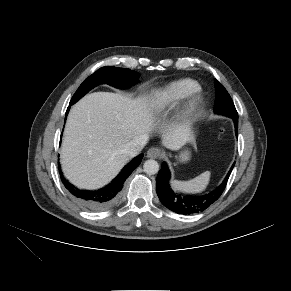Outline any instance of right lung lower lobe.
Masks as SVG:
<instances>
[{"mask_svg":"<svg viewBox=\"0 0 291 291\" xmlns=\"http://www.w3.org/2000/svg\"><path fill=\"white\" fill-rule=\"evenodd\" d=\"M70 107L66 111V116L68 114ZM66 119V117H65ZM143 158V154L135 157L129 164H127L120 174L113 179L104 188L98 190H85L79 189L68 182V180L62 175L60 165L58 163L59 173L61 175L62 183L65 188L69 191L72 197L84 208L90 211H100L109 208L120 195V191L123 188V183L129 177V175L134 171V169L140 164Z\"/></svg>","mask_w":291,"mask_h":291,"instance_id":"1","label":"right lung lower lobe"}]
</instances>
